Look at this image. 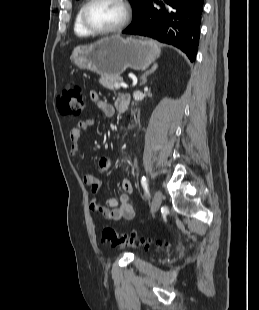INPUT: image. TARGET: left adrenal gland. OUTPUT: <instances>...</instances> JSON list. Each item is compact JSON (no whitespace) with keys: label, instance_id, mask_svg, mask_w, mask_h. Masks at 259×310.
I'll return each instance as SVG.
<instances>
[{"label":"left adrenal gland","instance_id":"a2214340","mask_svg":"<svg viewBox=\"0 0 259 310\" xmlns=\"http://www.w3.org/2000/svg\"><path fill=\"white\" fill-rule=\"evenodd\" d=\"M157 68H158V65L154 64L150 70L145 71L142 74L141 81H140V86L145 85V83L147 82V76L152 74V73H154V71H156Z\"/></svg>","mask_w":259,"mask_h":310}]
</instances>
